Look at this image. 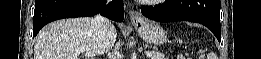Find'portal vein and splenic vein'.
I'll return each instance as SVG.
<instances>
[{
  "label": "portal vein and splenic vein",
  "instance_id": "obj_1",
  "mask_svg": "<svg viewBox=\"0 0 261 59\" xmlns=\"http://www.w3.org/2000/svg\"><path fill=\"white\" fill-rule=\"evenodd\" d=\"M85 50H86L85 48H80V49L76 50L75 53H76V54H80L81 52H84ZM146 55H147V57H151V56H152V53L147 51V52H146ZM117 56H120V54L117 53Z\"/></svg>",
  "mask_w": 261,
  "mask_h": 59
}]
</instances>
